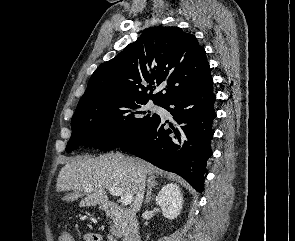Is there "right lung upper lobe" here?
Masks as SVG:
<instances>
[{"label": "right lung upper lobe", "instance_id": "cb5924a9", "mask_svg": "<svg viewBox=\"0 0 295 241\" xmlns=\"http://www.w3.org/2000/svg\"><path fill=\"white\" fill-rule=\"evenodd\" d=\"M211 80L205 50L193 34L178 27H152L94 71L80 101L122 97L162 105ZM159 85H165L163 92L153 95Z\"/></svg>", "mask_w": 295, "mask_h": 241}]
</instances>
